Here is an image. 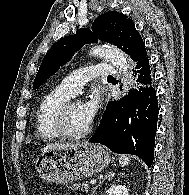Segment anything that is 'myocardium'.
Segmentation results:
<instances>
[{
	"label": "myocardium",
	"instance_id": "obj_1",
	"mask_svg": "<svg viewBox=\"0 0 189 195\" xmlns=\"http://www.w3.org/2000/svg\"><path fill=\"white\" fill-rule=\"evenodd\" d=\"M76 103H80V101L75 98L68 99L59 107L55 117V125L60 135L62 137L73 140L82 139L86 137L92 131L93 128L92 123H90L88 127L84 129L82 132L73 133L70 131L67 122L68 114L72 106L75 105Z\"/></svg>",
	"mask_w": 189,
	"mask_h": 195
}]
</instances>
